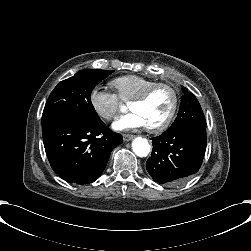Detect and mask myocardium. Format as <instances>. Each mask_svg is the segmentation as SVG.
<instances>
[{
    "instance_id": "1",
    "label": "myocardium",
    "mask_w": 251,
    "mask_h": 251,
    "mask_svg": "<svg viewBox=\"0 0 251 251\" xmlns=\"http://www.w3.org/2000/svg\"><path fill=\"white\" fill-rule=\"evenodd\" d=\"M168 87L172 90L173 95H174V102L171 111L167 115V117L160 123L147 126V129L152 131V132H159L167 129L170 124L172 123L178 109H179V104H180V93L179 89L177 88L176 85L169 83V82H157L155 81L152 83L150 86H148L139 96L134 98L132 100V103H144L149 100L153 92L159 88V87Z\"/></svg>"
}]
</instances>
